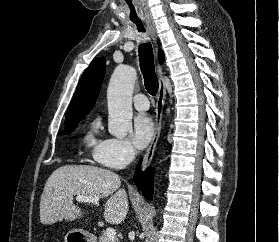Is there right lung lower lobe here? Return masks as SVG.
<instances>
[{
    "mask_svg": "<svg viewBox=\"0 0 279 242\" xmlns=\"http://www.w3.org/2000/svg\"><path fill=\"white\" fill-rule=\"evenodd\" d=\"M141 161L138 163L134 175L135 183L138 188L143 192L144 196L149 200L152 199L153 196V171H146L145 175L140 172Z\"/></svg>",
    "mask_w": 279,
    "mask_h": 242,
    "instance_id": "obj_1",
    "label": "right lung lower lobe"
}]
</instances>
